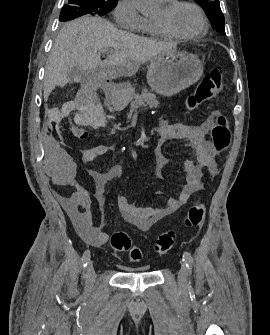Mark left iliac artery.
Instances as JSON below:
<instances>
[{
  "instance_id": "left-iliac-artery-1",
  "label": "left iliac artery",
  "mask_w": 270,
  "mask_h": 335,
  "mask_svg": "<svg viewBox=\"0 0 270 335\" xmlns=\"http://www.w3.org/2000/svg\"><path fill=\"white\" fill-rule=\"evenodd\" d=\"M183 261L185 262V264L187 266L189 275H191L192 266H193V257L191 256V254L189 252H184L183 253Z\"/></svg>"
}]
</instances>
